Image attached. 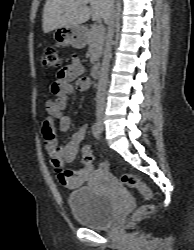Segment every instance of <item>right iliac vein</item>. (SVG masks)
Wrapping results in <instances>:
<instances>
[{"mask_svg":"<svg viewBox=\"0 0 194 250\" xmlns=\"http://www.w3.org/2000/svg\"><path fill=\"white\" fill-rule=\"evenodd\" d=\"M102 122H103V119L100 118V119H99V125H102Z\"/></svg>","mask_w":194,"mask_h":250,"instance_id":"obj_1","label":"right iliac vein"}]
</instances>
